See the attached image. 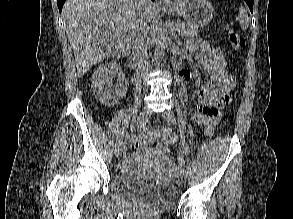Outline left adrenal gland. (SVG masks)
Returning <instances> with one entry per match:
<instances>
[{
	"label": "left adrenal gland",
	"mask_w": 293,
	"mask_h": 219,
	"mask_svg": "<svg viewBox=\"0 0 293 219\" xmlns=\"http://www.w3.org/2000/svg\"><path fill=\"white\" fill-rule=\"evenodd\" d=\"M178 38V36L175 34V32H174V39H177Z\"/></svg>",
	"instance_id": "1"
}]
</instances>
